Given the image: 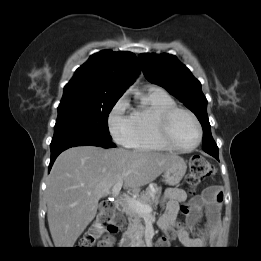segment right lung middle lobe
<instances>
[{
    "instance_id": "right-lung-middle-lobe-1",
    "label": "right lung middle lobe",
    "mask_w": 261,
    "mask_h": 261,
    "mask_svg": "<svg viewBox=\"0 0 261 261\" xmlns=\"http://www.w3.org/2000/svg\"><path fill=\"white\" fill-rule=\"evenodd\" d=\"M120 96H63L53 139L63 136L92 134L111 139L108 115Z\"/></svg>"
}]
</instances>
